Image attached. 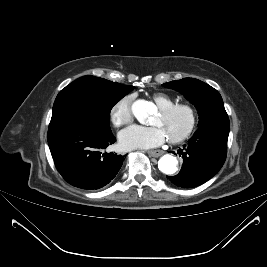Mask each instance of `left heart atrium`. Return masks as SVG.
<instances>
[{
    "label": "left heart atrium",
    "instance_id": "left-heart-atrium-1",
    "mask_svg": "<svg viewBox=\"0 0 267 267\" xmlns=\"http://www.w3.org/2000/svg\"><path fill=\"white\" fill-rule=\"evenodd\" d=\"M167 135L159 126L133 125L119 134V142L125 149H149L165 142Z\"/></svg>",
    "mask_w": 267,
    "mask_h": 267
}]
</instances>
